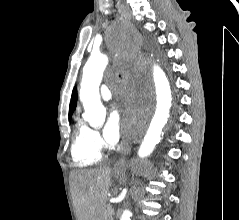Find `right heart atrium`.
Here are the masks:
<instances>
[{"mask_svg":"<svg viewBox=\"0 0 239 220\" xmlns=\"http://www.w3.org/2000/svg\"><path fill=\"white\" fill-rule=\"evenodd\" d=\"M93 140L94 143L100 148L103 145L102 139L98 132L93 131Z\"/></svg>","mask_w":239,"mask_h":220,"instance_id":"right-heart-atrium-1","label":"right heart atrium"}]
</instances>
